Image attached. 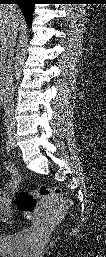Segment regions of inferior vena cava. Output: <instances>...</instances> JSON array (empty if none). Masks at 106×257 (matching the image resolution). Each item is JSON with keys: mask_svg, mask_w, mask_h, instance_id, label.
Instances as JSON below:
<instances>
[{"mask_svg": "<svg viewBox=\"0 0 106 257\" xmlns=\"http://www.w3.org/2000/svg\"><path fill=\"white\" fill-rule=\"evenodd\" d=\"M18 28L13 26L7 35V42L3 45L1 51V76L4 79V110H5V126L7 130L15 127L14 120V83L12 75V57L14 54V47L16 45ZM5 59H7L5 61Z\"/></svg>", "mask_w": 106, "mask_h": 257, "instance_id": "inferior-vena-cava-1", "label": "inferior vena cava"}]
</instances>
